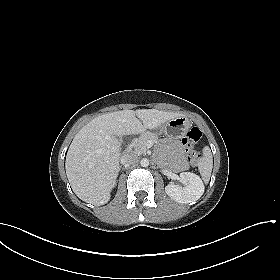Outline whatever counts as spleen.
I'll list each match as a JSON object with an SVG mask.
<instances>
[{
    "label": "spleen",
    "mask_w": 280,
    "mask_h": 280,
    "mask_svg": "<svg viewBox=\"0 0 280 280\" xmlns=\"http://www.w3.org/2000/svg\"><path fill=\"white\" fill-rule=\"evenodd\" d=\"M197 165L202 179L205 183H208L213 168V157L209 146L203 148V156L199 159Z\"/></svg>",
    "instance_id": "spleen-1"
}]
</instances>
